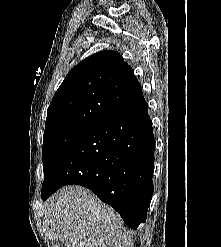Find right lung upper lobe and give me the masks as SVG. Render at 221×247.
Segmentation results:
<instances>
[{
	"instance_id": "1",
	"label": "right lung upper lobe",
	"mask_w": 221,
	"mask_h": 247,
	"mask_svg": "<svg viewBox=\"0 0 221 247\" xmlns=\"http://www.w3.org/2000/svg\"><path fill=\"white\" fill-rule=\"evenodd\" d=\"M142 101L131 66L118 52H98L68 73L47 110L45 130L69 124L93 127Z\"/></svg>"
}]
</instances>
